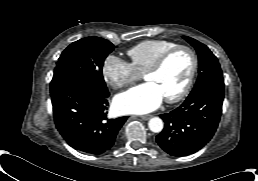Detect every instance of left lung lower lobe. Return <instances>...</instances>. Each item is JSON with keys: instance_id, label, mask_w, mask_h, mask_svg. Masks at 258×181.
Masks as SVG:
<instances>
[{"instance_id": "obj_1", "label": "left lung lower lobe", "mask_w": 258, "mask_h": 181, "mask_svg": "<svg viewBox=\"0 0 258 181\" xmlns=\"http://www.w3.org/2000/svg\"><path fill=\"white\" fill-rule=\"evenodd\" d=\"M224 89L209 88L188 97L170 113L162 114L163 131L156 142L172 156H187L201 149L214 135L222 112Z\"/></svg>"}]
</instances>
